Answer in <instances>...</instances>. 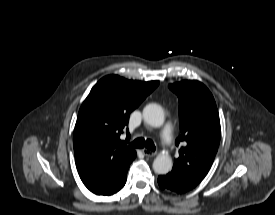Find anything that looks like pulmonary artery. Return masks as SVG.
<instances>
[{
	"mask_svg": "<svg viewBox=\"0 0 275 215\" xmlns=\"http://www.w3.org/2000/svg\"><path fill=\"white\" fill-rule=\"evenodd\" d=\"M162 142L166 145H171L173 142V133L171 125H166L161 131Z\"/></svg>",
	"mask_w": 275,
	"mask_h": 215,
	"instance_id": "obj_1",
	"label": "pulmonary artery"
}]
</instances>
